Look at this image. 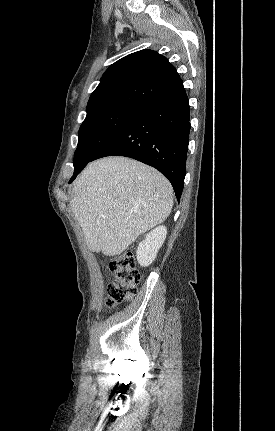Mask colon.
<instances>
[{
    "label": "colon",
    "instance_id": "1",
    "mask_svg": "<svg viewBox=\"0 0 275 431\" xmlns=\"http://www.w3.org/2000/svg\"><path fill=\"white\" fill-rule=\"evenodd\" d=\"M113 280L108 285L105 304L114 307L132 299L137 293L140 274L135 267V258L131 252L114 257L109 264Z\"/></svg>",
    "mask_w": 275,
    "mask_h": 431
}]
</instances>
